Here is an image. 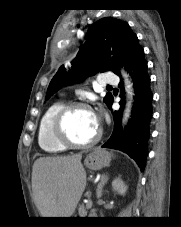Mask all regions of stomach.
I'll use <instances>...</instances> for the list:
<instances>
[{
  "instance_id": "obj_1",
  "label": "stomach",
  "mask_w": 181,
  "mask_h": 227,
  "mask_svg": "<svg viewBox=\"0 0 181 227\" xmlns=\"http://www.w3.org/2000/svg\"><path fill=\"white\" fill-rule=\"evenodd\" d=\"M110 161L111 155L107 151L96 148L86 156L84 165L86 168L96 171L108 166Z\"/></svg>"
}]
</instances>
